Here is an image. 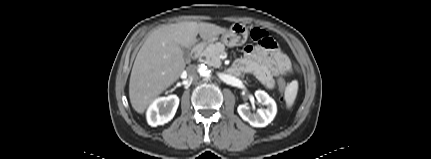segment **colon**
<instances>
[{
    "instance_id": "1",
    "label": "colon",
    "mask_w": 431,
    "mask_h": 159,
    "mask_svg": "<svg viewBox=\"0 0 431 159\" xmlns=\"http://www.w3.org/2000/svg\"><path fill=\"white\" fill-rule=\"evenodd\" d=\"M250 36L253 41L260 43V44H269V35L268 32L260 29V28H254L250 32ZM278 86L280 90V103L284 102V92L286 90V82L283 79L278 80Z\"/></svg>"
}]
</instances>
